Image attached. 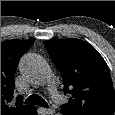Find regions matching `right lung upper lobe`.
I'll return each mask as SVG.
<instances>
[{
	"mask_svg": "<svg viewBox=\"0 0 115 115\" xmlns=\"http://www.w3.org/2000/svg\"><path fill=\"white\" fill-rule=\"evenodd\" d=\"M34 43L33 40H8L1 42V115H31L35 106H24L20 101L10 106L13 97L14 73L22 54Z\"/></svg>",
	"mask_w": 115,
	"mask_h": 115,
	"instance_id": "cb5924a9",
	"label": "right lung upper lobe"
}]
</instances>
